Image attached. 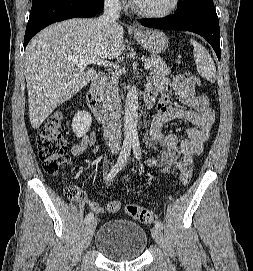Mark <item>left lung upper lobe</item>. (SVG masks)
Returning a JSON list of instances; mask_svg holds the SVG:
<instances>
[{
    "label": "left lung upper lobe",
    "instance_id": "1",
    "mask_svg": "<svg viewBox=\"0 0 253 271\" xmlns=\"http://www.w3.org/2000/svg\"><path fill=\"white\" fill-rule=\"evenodd\" d=\"M198 0H180L178 8L180 9H188L189 7L196 4Z\"/></svg>",
    "mask_w": 253,
    "mask_h": 271
}]
</instances>
